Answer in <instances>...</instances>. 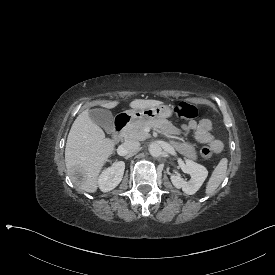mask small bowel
<instances>
[{
	"label": "small bowel",
	"instance_id": "obj_1",
	"mask_svg": "<svg viewBox=\"0 0 275 275\" xmlns=\"http://www.w3.org/2000/svg\"><path fill=\"white\" fill-rule=\"evenodd\" d=\"M185 131H194L195 139L202 144L211 146L215 153L222 151L223 144L211 133V122L203 119L200 122L191 121L183 126Z\"/></svg>",
	"mask_w": 275,
	"mask_h": 275
}]
</instances>
